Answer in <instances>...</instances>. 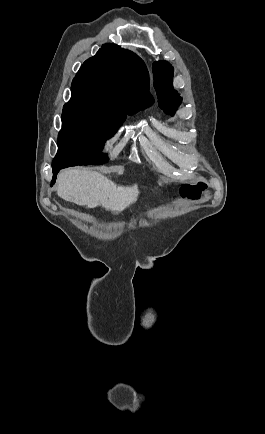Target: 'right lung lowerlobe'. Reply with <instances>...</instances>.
<instances>
[{
	"mask_svg": "<svg viewBox=\"0 0 265 434\" xmlns=\"http://www.w3.org/2000/svg\"><path fill=\"white\" fill-rule=\"evenodd\" d=\"M63 168H65V167H56V168H53V179H52V181H51V185H53L54 183H55V179H56V174L61 170V169H63Z\"/></svg>",
	"mask_w": 265,
	"mask_h": 434,
	"instance_id": "98d812e1",
	"label": "right lung lower lobe"
}]
</instances>
